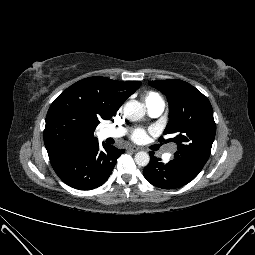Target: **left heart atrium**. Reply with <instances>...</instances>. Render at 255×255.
Here are the masks:
<instances>
[{
	"mask_svg": "<svg viewBox=\"0 0 255 255\" xmlns=\"http://www.w3.org/2000/svg\"><path fill=\"white\" fill-rule=\"evenodd\" d=\"M147 137V134L144 130L142 129H136L133 131L132 135H131V139L134 141V142H137V143H141L143 141H145Z\"/></svg>",
	"mask_w": 255,
	"mask_h": 255,
	"instance_id": "obj_1",
	"label": "left heart atrium"
}]
</instances>
